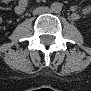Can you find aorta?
<instances>
[{
    "instance_id": "aorta-1",
    "label": "aorta",
    "mask_w": 91,
    "mask_h": 91,
    "mask_svg": "<svg viewBox=\"0 0 91 91\" xmlns=\"http://www.w3.org/2000/svg\"><path fill=\"white\" fill-rule=\"evenodd\" d=\"M62 10V4L59 2H54L51 4V11L54 13H59Z\"/></svg>"
}]
</instances>
